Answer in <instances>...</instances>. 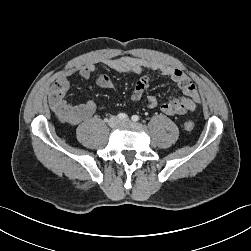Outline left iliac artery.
I'll use <instances>...</instances> for the list:
<instances>
[{"mask_svg": "<svg viewBox=\"0 0 251 251\" xmlns=\"http://www.w3.org/2000/svg\"><path fill=\"white\" fill-rule=\"evenodd\" d=\"M131 119L136 122L139 120V117L137 115H133Z\"/></svg>", "mask_w": 251, "mask_h": 251, "instance_id": "obj_1", "label": "left iliac artery"}]
</instances>
